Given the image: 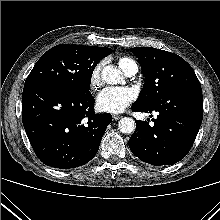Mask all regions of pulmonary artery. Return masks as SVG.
<instances>
[{"label": "pulmonary artery", "mask_w": 220, "mask_h": 220, "mask_svg": "<svg viewBox=\"0 0 220 220\" xmlns=\"http://www.w3.org/2000/svg\"><path fill=\"white\" fill-rule=\"evenodd\" d=\"M138 67L137 64L134 63L128 70L125 72L128 76H133L137 73Z\"/></svg>", "instance_id": "1"}]
</instances>
